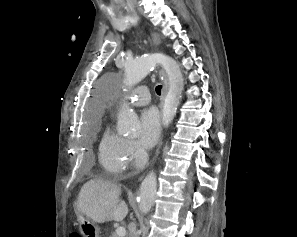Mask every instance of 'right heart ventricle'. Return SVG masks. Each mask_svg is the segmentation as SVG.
<instances>
[{
	"label": "right heart ventricle",
	"mask_w": 297,
	"mask_h": 237,
	"mask_svg": "<svg viewBox=\"0 0 297 237\" xmlns=\"http://www.w3.org/2000/svg\"><path fill=\"white\" fill-rule=\"evenodd\" d=\"M128 141L121 135L105 128L98 147V159L102 168L110 175H118L123 172L128 163Z\"/></svg>",
	"instance_id": "e07e8e85"
}]
</instances>
